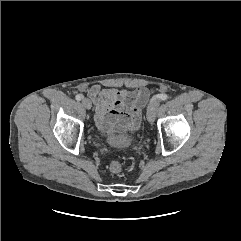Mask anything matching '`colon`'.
Segmentation results:
<instances>
[{"mask_svg":"<svg viewBox=\"0 0 241 241\" xmlns=\"http://www.w3.org/2000/svg\"><path fill=\"white\" fill-rule=\"evenodd\" d=\"M109 169L112 173H119L122 169V163L119 160H112L109 164Z\"/></svg>","mask_w":241,"mask_h":241,"instance_id":"colon-1","label":"colon"}]
</instances>
